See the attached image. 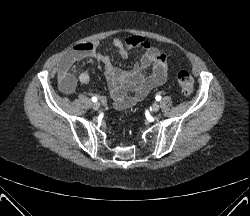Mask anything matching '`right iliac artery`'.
I'll return each instance as SVG.
<instances>
[{
    "label": "right iliac artery",
    "mask_w": 250,
    "mask_h": 216,
    "mask_svg": "<svg viewBox=\"0 0 250 216\" xmlns=\"http://www.w3.org/2000/svg\"><path fill=\"white\" fill-rule=\"evenodd\" d=\"M93 102H97V97H92L91 99Z\"/></svg>",
    "instance_id": "right-iliac-artery-1"
}]
</instances>
